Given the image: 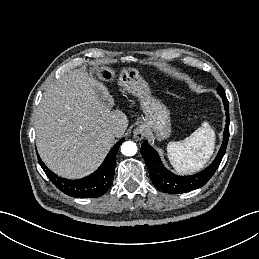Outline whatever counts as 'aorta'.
<instances>
[{
	"label": "aorta",
	"instance_id": "762f6f07",
	"mask_svg": "<svg viewBox=\"0 0 259 259\" xmlns=\"http://www.w3.org/2000/svg\"><path fill=\"white\" fill-rule=\"evenodd\" d=\"M121 152L125 156H133L137 152V146L132 141L124 142L121 146Z\"/></svg>",
	"mask_w": 259,
	"mask_h": 259
}]
</instances>
